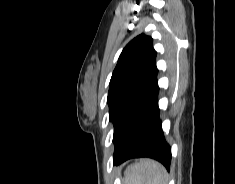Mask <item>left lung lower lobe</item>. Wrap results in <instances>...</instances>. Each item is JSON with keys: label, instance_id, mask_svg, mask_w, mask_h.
Masks as SVG:
<instances>
[{"label": "left lung lower lobe", "instance_id": "obj_1", "mask_svg": "<svg viewBox=\"0 0 235 184\" xmlns=\"http://www.w3.org/2000/svg\"><path fill=\"white\" fill-rule=\"evenodd\" d=\"M158 91L157 85L153 96L139 115L125 146L113 158L114 165L131 158L149 157L161 162L167 170L170 169L171 147L165 140L161 126Z\"/></svg>", "mask_w": 235, "mask_h": 184}]
</instances>
